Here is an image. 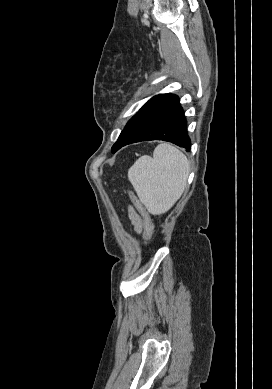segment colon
<instances>
[{"label": "colon", "mask_w": 272, "mask_h": 389, "mask_svg": "<svg viewBox=\"0 0 272 389\" xmlns=\"http://www.w3.org/2000/svg\"><path fill=\"white\" fill-rule=\"evenodd\" d=\"M131 197L138 213L142 218L144 227V238L146 243L149 244L152 241L154 235V226L151 217L145 207L139 201V199L134 194H131Z\"/></svg>", "instance_id": "5ec220e1"}]
</instances>
